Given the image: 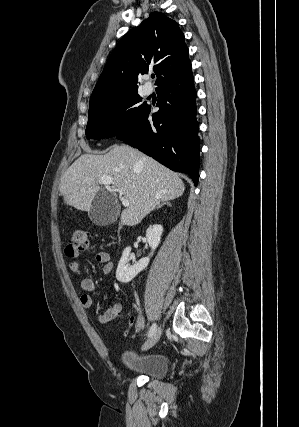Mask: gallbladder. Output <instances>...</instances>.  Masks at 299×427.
I'll use <instances>...</instances> for the list:
<instances>
[{"instance_id": "gallbladder-1", "label": "gallbladder", "mask_w": 299, "mask_h": 427, "mask_svg": "<svg viewBox=\"0 0 299 427\" xmlns=\"http://www.w3.org/2000/svg\"><path fill=\"white\" fill-rule=\"evenodd\" d=\"M120 210L113 192L101 189L95 195L88 211L90 220L98 226L114 223L119 217Z\"/></svg>"}]
</instances>
